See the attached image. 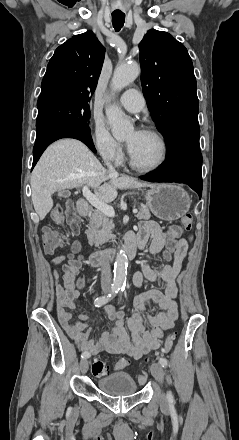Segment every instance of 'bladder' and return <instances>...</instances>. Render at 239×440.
I'll return each mask as SVG.
<instances>
[{
	"mask_svg": "<svg viewBox=\"0 0 239 440\" xmlns=\"http://www.w3.org/2000/svg\"><path fill=\"white\" fill-rule=\"evenodd\" d=\"M100 391L111 396H126L137 392L135 379L126 372L111 373L97 382Z\"/></svg>",
	"mask_w": 239,
	"mask_h": 440,
	"instance_id": "bladder-1",
	"label": "bladder"
}]
</instances>
